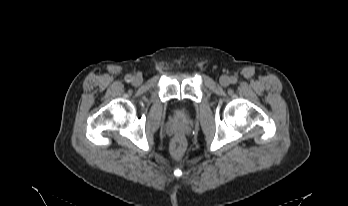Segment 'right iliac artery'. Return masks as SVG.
<instances>
[{
  "mask_svg": "<svg viewBox=\"0 0 348 206\" xmlns=\"http://www.w3.org/2000/svg\"><path fill=\"white\" fill-rule=\"evenodd\" d=\"M126 82H131L132 81V76L131 75H126L125 76Z\"/></svg>",
  "mask_w": 348,
  "mask_h": 206,
  "instance_id": "obj_1",
  "label": "right iliac artery"
}]
</instances>
